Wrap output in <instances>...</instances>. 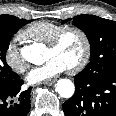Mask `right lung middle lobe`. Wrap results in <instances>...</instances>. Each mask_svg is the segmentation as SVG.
<instances>
[{"label":"right lung middle lobe","instance_id":"obj_1","mask_svg":"<svg viewBox=\"0 0 116 116\" xmlns=\"http://www.w3.org/2000/svg\"><path fill=\"white\" fill-rule=\"evenodd\" d=\"M29 22L24 19L15 23L0 21V85L10 84L18 78V75L7 64L5 55L12 36L22 25Z\"/></svg>","mask_w":116,"mask_h":116}]
</instances>
